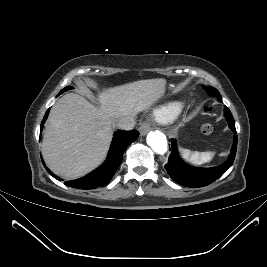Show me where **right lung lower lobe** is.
Instances as JSON below:
<instances>
[{
  "label": "right lung lower lobe",
  "mask_w": 267,
  "mask_h": 267,
  "mask_svg": "<svg viewBox=\"0 0 267 267\" xmlns=\"http://www.w3.org/2000/svg\"><path fill=\"white\" fill-rule=\"evenodd\" d=\"M48 114H49V109L46 112V115L44 116L45 119L47 118ZM42 129H43V123H41V131ZM138 136L139 133L136 130L116 131L112 140V144L106 162L98 169L89 173L83 178L72 181H66L65 185L78 189H94L99 186L106 185L112 179L115 172L119 168L126 147L130 145L133 141H135L138 138ZM46 170L53 177L59 180V178L54 174H52V172L47 167Z\"/></svg>",
  "instance_id": "right-lung-lower-lobe-1"
}]
</instances>
